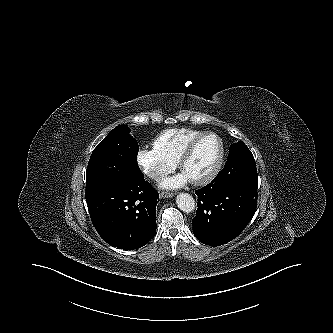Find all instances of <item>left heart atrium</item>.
Masks as SVG:
<instances>
[{"instance_id":"left-heart-atrium-1","label":"left heart atrium","mask_w":333,"mask_h":333,"mask_svg":"<svg viewBox=\"0 0 333 333\" xmlns=\"http://www.w3.org/2000/svg\"><path fill=\"white\" fill-rule=\"evenodd\" d=\"M190 179L184 174H179L170 178L165 179L161 186L167 189H176L184 186Z\"/></svg>"}]
</instances>
